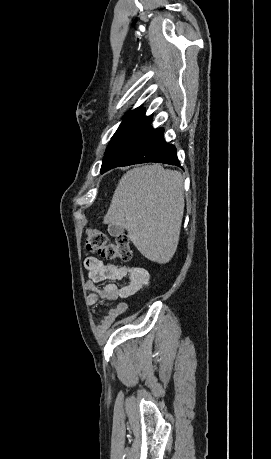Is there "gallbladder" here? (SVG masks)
<instances>
[{
  "label": "gallbladder",
  "mask_w": 271,
  "mask_h": 459,
  "mask_svg": "<svg viewBox=\"0 0 271 459\" xmlns=\"http://www.w3.org/2000/svg\"><path fill=\"white\" fill-rule=\"evenodd\" d=\"M108 231L110 235H114V237H117V235H121V233H123L124 228L123 226H115V224H109Z\"/></svg>",
  "instance_id": "gallbladder-1"
}]
</instances>
